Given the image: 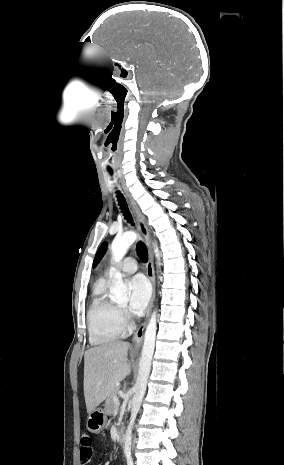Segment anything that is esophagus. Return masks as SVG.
<instances>
[{
    "label": "esophagus",
    "instance_id": "1",
    "mask_svg": "<svg viewBox=\"0 0 284 465\" xmlns=\"http://www.w3.org/2000/svg\"><path fill=\"white\" fill-rule=\"evenodd\" d=\"M126 196L130 202L131 207L134 210V213L136 215V220L138 223L139 230L145 240L146 247L148 250V262L146 264V270H147V276L151 281L152 284V297L147 309V315L144 320V322L139 326V328L136 330V332L133 335V345L134 349H138L141 347L142 342H143V335L144 331L146 328L147 320L151 314L152 310V305H153V300H154V292H155V274H154V264H153V256H152V249H151V244H150V230L148 228L147 222L145 220L144 215L142 214L141 210L137 206V204L134 202L133 198L131 197L130 193L125 189Z\"/></svg>",
    "mask_w": 284,
    "mask_h": 465
}]
</instances>
